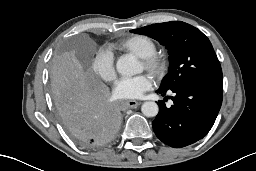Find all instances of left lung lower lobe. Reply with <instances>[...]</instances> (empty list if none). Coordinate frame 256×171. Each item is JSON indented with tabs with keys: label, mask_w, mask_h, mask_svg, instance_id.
Returning a JSON list of instances; mask_svg holds the SVG:
<instances>
[{
	"label": "left lung lower lobe",
	"mask_w": 256,
	"mask_h": 171,
	"mask_svg": "<svg viewBox=\"0 0 256 171\" xmlns=\"http://www.w3.org/2000/svg\"><path fill=\"white\" fill-rule=\"evenodd\" d=\"M171 91L174 104L167 108L163 101L158 102L152 127L163 143L181 148L202 139L212 128L222 104L223 84L189 81Z\"/></svg>",
	"instance_id": "left-lung-lower-lobe-1"
}]
</instances>
